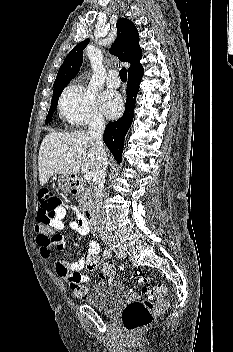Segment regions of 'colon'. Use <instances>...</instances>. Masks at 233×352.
I'll use <instances>...</instances> for the list:
<instances>
[{
	"instance_id": "1",
	"label": "colon",
	"mask_w": 233,
	"mask_h": 352,
	"mask_svg": "<svg viewBox=\"0 0 233 352\" xmlns=\"http://www.w3.org/2000/svg\"><path fill=\"white\" fill-rule=\"evenodd\" d=\"M38 237L45 241L61 242L62 236L55 232L48 220L38 221L36 225ZM85 268L88 271H100L103 276L113 277L117 272L115 264L105 262L97 254L87 253L83 256ZM70 288L78 299L87 296V287L82 279V274H74L70 277ZM143 300H135L128 303L121 313L124 327L129 331H137L149 325L154 316L168 307V301L163 300L166 286L158 284L154 287H144Z\"/></svg>"
}]
</instances>
